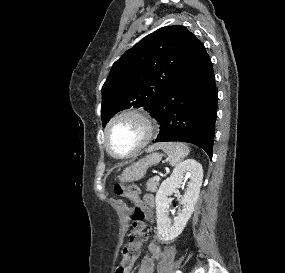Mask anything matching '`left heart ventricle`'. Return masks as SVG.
<instances>
[{
	"mask_svg": "<svg viewBox=\"0 0 285 273\" xmlns=\"http://www.w3.org/2000/svg\"><path fill=\"white\" fill-rule=\"evenodd\" d=\"M143 135L142 123L136 118L125 117L112 126L108 141L114 153L124 155L137 146Z\"/></svg>",
	"mask_w": 285,
	"mask_h": 273,
	"instance_id": "obj_1",
	"label": "left heart ventricle"
}]
</instances>
